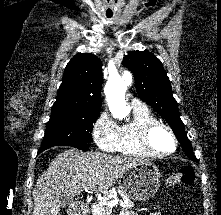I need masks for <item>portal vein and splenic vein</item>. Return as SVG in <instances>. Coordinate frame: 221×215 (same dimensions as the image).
<instances>
[{
    "instance_id": "obj_1",
    "label": "portal vein and splenic vein",
    "mask_w": 221,
    "mask_h": 215,
    "mask_svg": "<svg viewBox=\"0 0 221 215\" xmlns=\"http://www.w3.org/2000/svg\"><path fill=\"white\" fill-rule=\"evenodd\" d=\"M118 202H119V199L115 198L114 200H111V201H109V202H107L105 204L108 207H113L114 205L118 204Z\"/></svg>"
}]
</instances>
